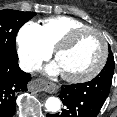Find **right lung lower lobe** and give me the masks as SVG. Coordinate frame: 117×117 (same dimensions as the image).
<instances>
[{
  "mask_svg": "<svg viewBox=\"0 0 117 117\" xmlns=\"http://www.w3.org/2000/svg\"><path fill=\"white\" fill-rule=\"evenodd\" d=\"M16 61L0 57V117H12L15 113L16 95L27 91L31 75L23 72Z\"/></svg>",
  "mask_w": 117,
  "mask_h": 117,
  "instance_id": "98d812e1",
  "label": "right lung lower lobe"
}]
</instances>
